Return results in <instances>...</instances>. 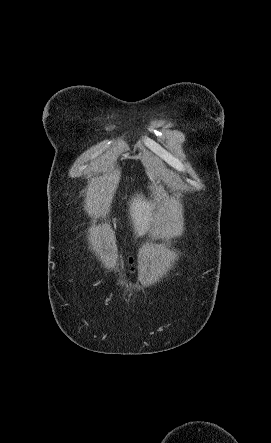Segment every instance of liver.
<instances>
[{
    "instance_id": "liver-1",
    "label": "liver",
    "mask_w": 271,
    "mask_h": 443,
    "mask_svg": "<svg viewBox=\"0 0 271 443\" xmlns=\"http://www.w3.org/2000/svg\"><path fill=\"white\" fill-rule=\"evenodd\" d=\"M129 212L135 233L144 235L153 220L150 214L152 212L151 202H147L142 196L136 194V198H132V202L129 204Z\"/></svg>"
}]
</instances>
